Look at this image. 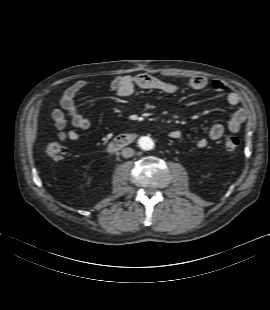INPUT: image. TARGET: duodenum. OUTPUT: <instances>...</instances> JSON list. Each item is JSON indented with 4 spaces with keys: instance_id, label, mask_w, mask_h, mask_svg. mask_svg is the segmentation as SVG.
<instances>
[{
    "instance_id": "410a0bca",
    "label": "duodenum",
    "mask_w": 270,
    "mask_h": 310,
    "mask_svg": "<svg viewBox=\"0 0 270 310\" xmlns=\"http://www.w3.org/2000/svg\"><path fill=\"white\" fill-rule=\"evenodd\" d=\"M135 139L133 134H122L116 136L108 143V149L112 152L120 150L128 145H130Z\"/></svg>"
}]
</instances>
